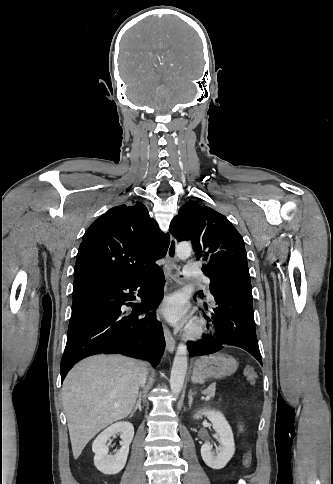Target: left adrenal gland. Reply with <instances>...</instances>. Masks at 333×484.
<instances>
[{
  "label": "left adrenal gland",
  "mask_w": 333,
  "mask_h": 484,
  "mask_svg": "<svg viewBox=\"0 0 333 484\" xmlns=\"http://www.w3.org/2000/svg\"><path fill=\"white\" fill-rule=\"evenodd\" d=\"M196 395V393H193L192 392V389L189 390V393H188V399H189V407H191L192 405V402H193V396Z\"/></svg>",
  "instance_id": "1"
}]
</instances>
